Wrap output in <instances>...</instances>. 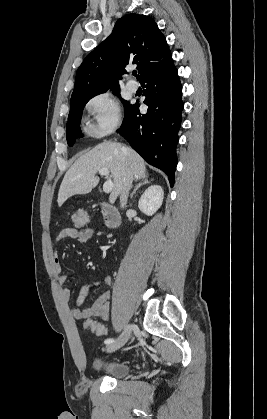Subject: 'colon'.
Masks as SVG:
<instances>
[{"label":"colon","instance_id":"1","mask_svg":"<svg viewBox=\"0 0 267 419\" xmlns=\"http://www.w3.org/2000/svg\"><path fill=\"white\" fill-rule=\"evenodd\" d=\"M89 220V214L85 210H80L72 216L73 228L82 229ZM84 328L91 330L96 335H104L107 332V328L102 323L95 320H87L84 323Z\"/></svg>","mask_w":267,"mask_h":419}]
</instances>
